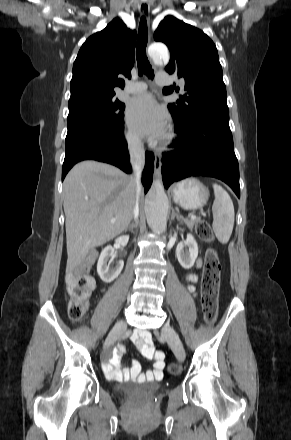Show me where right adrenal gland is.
I'll use <instances>...</instances> for the list:
<instances>
[{
  "instance_id": "right-adrenal-gland-1",
  "label": "right adrenal gland",
  "mask_w": 291,
  "mask_h": 440,
  "mask_svg": "<svg viewBox=\"0 0 291 440\" xmlns=\"http://www.w3.org/2000/svg\"><path fill=\"white\" fill-rule=\"evenodd\" d=\"M137 226H138V220H136L135 223L130 224L126 230L133 231V229L137 228Z\"/></svg>"
}]
</instances>
